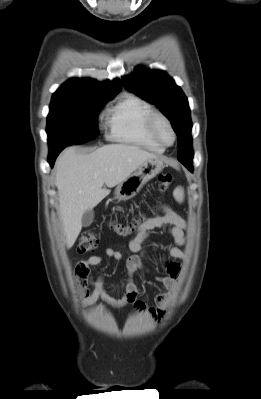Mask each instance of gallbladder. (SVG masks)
I'll use <instances>...</instances> for the list:
<instances>
[{
	"label": "gallbladder",
	"mask_w": 261,
	"mask_h": 399,
	"mask_svg": "<svg viewBox=\"0 0 261 399\" xmlns=\"http://www.w3.org/2000/svg\"><path fill=\"white\" fill-rule=\"evenodd\" d=\"M94 219V212L93 210H87L84 212L82 216V226L83 227H89Z\"/></svg>",
	"instance_id": "obj_1"
}]
</instances>
